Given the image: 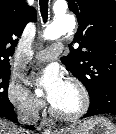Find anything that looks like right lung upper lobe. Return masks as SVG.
<instances>
[{
  "mask_svg": "<svg viewBox=\"0 0 116 134\" xmlns=\"http://www.w3.org/2000/svg\"><path fill=\"white\" fill-rule=\"evenodd\" d=\"M30 21H36V10L25 0H0V69L10 67L9 58Z\"/></svg>",
  "mask_w": 116,
  "mask_h": 134,
  "instance_id": "right-lung-upper-lobe-1",
  "label": "right lung upper lobe"
}]
</instances>
